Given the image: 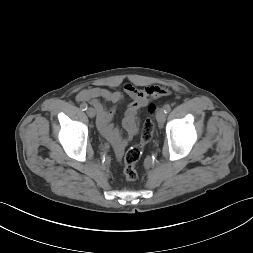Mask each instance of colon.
<instances>
[{
    "label": "colon",
    "instance_id": "colon-1",
    "mask_svg": "<svg viewBox=\"0 0 253 253\" xmlns=\"http://www.w3.org/2000/svg\"><path fill=\"white\" fill-rule=\"evenodd\" d=\"M159 96L165 94V90L159 88L157 90ZM155 105L149 106V112L153 114L155 112ZM154 132V124L151 119H147L143 125L140 141L134 146L130 147L124 155L123 159V173L124 177L128 181H134L137 179L136 164L139 161L144 146L151 140Z\"/></svg>",
    "mask_w": 253,
    "mask_h": 253
}]
</instances>
